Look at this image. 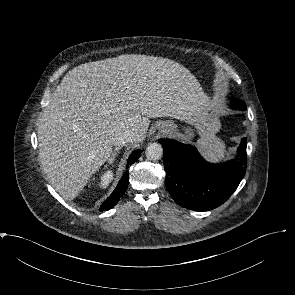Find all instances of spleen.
<instances>
[{
    "instance_id": "spleen-1",
    "label": "spleen",
    "mask_w": 295,
    "mask_h": 295,
    "mask_svg": "<svg viewBox=\"0 0 295 295\" xmlns=\"http://www.w3.org/2000/svg\"><path fill=\"white\" fill-rule=\"evenodd\" d=\"M198 148L208 160L218 162L226 157V145L223 140L212 134H207L197 141Z\"/></svg>"
}]
</instances>
